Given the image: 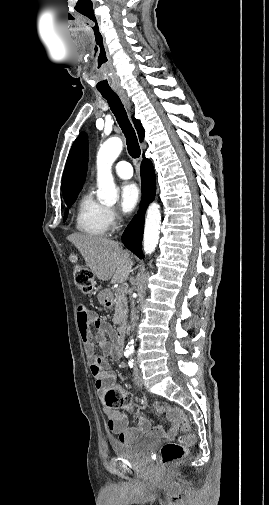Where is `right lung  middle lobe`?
<instances>
[{"label": "right lung middle lobe", "mask_w": 269, "mask_h": 505, "mask_svg": "<svg viewBox=\"0 0 269 505\" xmlns=\"http://www.w3.org/2000/svg\"><path fill=\"white\" fill-rule=\"evenodd\" d=\"M77 194H75L74 196H72L71 198L65 200V203L68 207H71V205L75 202V200L77 199ZM67 214H68V210H66L65 214H64V221L67 219Z\"/></svg>", "instance_id": "obj_1"}]
</instances>
